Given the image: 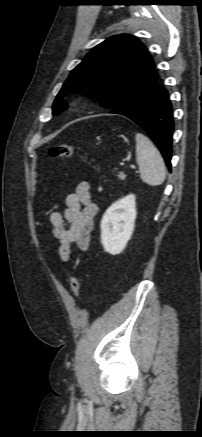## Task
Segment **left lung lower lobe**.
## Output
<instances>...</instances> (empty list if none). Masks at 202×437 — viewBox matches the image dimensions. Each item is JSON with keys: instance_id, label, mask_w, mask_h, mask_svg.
<instances>
[{"instance_id": "0a47b994", "label": "left lung lower lobe", "mask_w": 202, "mask_h": 437, "mask_svg": "<svg viewBox=\"0 0 202 437\" xmlns=\"http://www.w3.org/2000/svg\"><path fill=\"white\" fill-rule=\"evenodd\" d=\"M110 113L128 117L155 142L171 171L174 121L168 91L156 80L145 90L114 107Z\"/></svg>"}]
</instances>
